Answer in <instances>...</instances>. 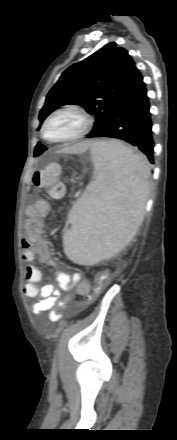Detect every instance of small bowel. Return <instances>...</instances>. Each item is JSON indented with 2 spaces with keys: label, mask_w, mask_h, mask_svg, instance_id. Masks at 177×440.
Listing matches in <instances>:
<instances>
[{
  "label": "small bowel",
  "mask_w": 177,
  "mask_h": 440,
  "mask_svg": "<svg viewBox=\"0 0 177 440\" xmlns=\"http://www.w3.org/2000/svg\"><path fill=\"white\" fill-rule=\"evenodd\" d=\"M50 214V204L44 200H37L26 208L28 220L26 222V236L22 241V260L26 263V283L24 295L36 299L31 310L34 315L51 310L50 319L57 321L61 314L55 310L68 303L73 295L86 296L90 293V283L83 279L79 272L68 274L57 268L47 242L42 237L43 220ZM44 265L55 268L53 278L56 284L48 283L40 286L42 280L41 271L33 265L35 259ZM74 289V293H72ZM61 291L67 292L62 297Z\"/></svg>",
  "instance_id": "obj_1"
}]
</instances>
